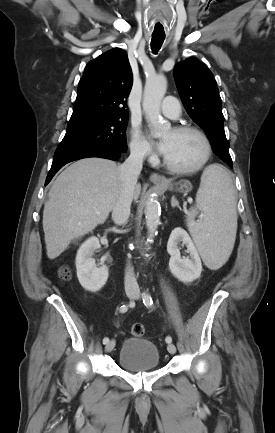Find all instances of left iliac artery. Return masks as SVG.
Wrapping results in <instances>:
<instances>
[{"mask_svg":"<svg viewBox=\"0 0 275 433\" xmlns=\"http://www.w3.org/2000/svg\"><path fill=\"white\" fill-rule=\"evenodd\" d=\"M142 297H143V303H144V305H145L146 307H152V305H153V300H152L151 295H150L148 292L145 291V292L143 293ZM165 341H166L167 343H171V342H172V338H171L170 336H167L166 339H165Z\"/></svg>","mask_w":275,"mask_h":433,"instance_id":"1","label":"left iliac artery"}]
</instances>
